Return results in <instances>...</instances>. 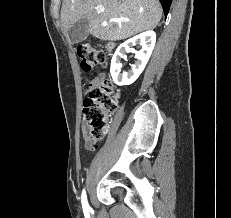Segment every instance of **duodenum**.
Segmentation results:
<instances>
[{"mask_svg":"<svg viewBox=\"0 0 231 218\" xmlns=\"http://www.w3.org/2000/svg\"><path fill=\"white\" fill-rule=\"evenodd\" d=\"M114 47V43H109V48H113Z\"/></svg>","mask_w":231,"mask_h":218,"instance_id":"obj_1","label":"duodenum"}]
</instances>
